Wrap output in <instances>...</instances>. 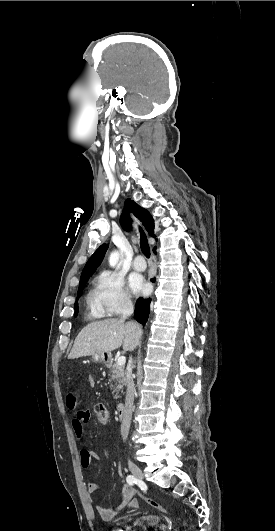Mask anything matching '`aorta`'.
Returning a JSON list of instances; mask_svg holds the SVG:
<instances>
[{
    "mask_svg": "<svg viewBox=\"0 0 275 531\" xmlns=\"http://www.w3.org/2000/svg\"><path fill=\"white\" fill-rule=\"evenodd\" d=\"M119 253H111L110 257H109V265L110 267H115V265H117L118 261H119Z\"/></svg>",
    "mask_w": 275,
    "mask_h": 531,
    "instance_id": "1",
    "label": "aorta"
}]
</instances>
